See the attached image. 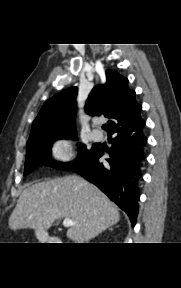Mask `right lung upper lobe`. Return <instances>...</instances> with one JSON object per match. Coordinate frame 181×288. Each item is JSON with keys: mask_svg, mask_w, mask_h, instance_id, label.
<instances>
[{"mask_svg": "<svg viewBox=\"0 0 181 288\" xmlns=\"http://www.w3.org/2000/svg\"><path fill=\"white\" fill-rule=\"evenodd\" d=\"M104 85L92 89L85 110L90 115H101L108 121V135L128 129L140 128L142 107L135 101V91L128 88V79L116 71H106ZM77 88H68L45 102L33 122L29 140L50 132L75 133V97Z\"/></svg>", "mask_w": 181, "mask_h": 288, "instance_id": "obj_1", "label": "right lung upper lobe"}]
</instances>
